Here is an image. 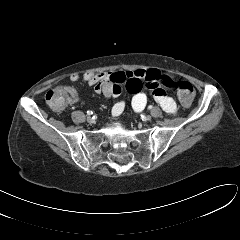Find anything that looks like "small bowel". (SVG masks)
<instances>
[{"label":"small bowel","instance_id":"c3829d8e","mask_svg":"<svg viewBox=\"0 0 240 240\" xmlns=\"http://www.w3.org/2000/svg\"><path fill=\"white\" fill-rule=\"evenodd\" d=\"M83 79L88 84L94 86L97 94H102L106 98L118 97L121 93V85L124 84L126 90L132 94L131 106L135 112H141L147 104V95L142 91L143 87L149 89L154 100L169 114L177 111L176 102L167 93L173 87L174 81L170 75L162 74L158 69L117 71V72H85L84 74L73 73L69 79L76 82ZM70 92V102L75 104L80 101V96L76 90L67 86ZM125 109V101L119 100L112 107V115L120 116Z\"/></svg>","mask_w":240,"mask_h":240}]
</instances>
